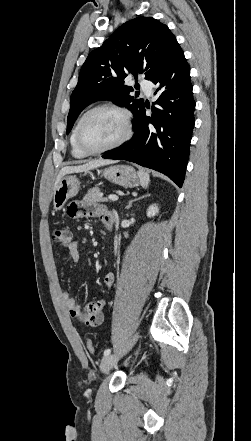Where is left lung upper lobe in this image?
<instances>
[{
	"label": "left lung upper lobe",
	"mask_w": 251,
	"mask_h": 441,
	"mask_svg": "<svg viewBox=\"0 0 251 441\" xmlns=\"http://www.w3.org/2000/svg\"><path fill=\"white\" fill-rule=\"evenodd\" d=\"M177 41L169 28L152 17H137L120 26L83 64L78 84L71 95L67 134L78 115L91 103L110 100L127 107L135 116L143 99L124 84L127 76L144 73L151 78L162 68Z\"/></svg>",
	"instance_id": "1"
}]
</instances>
